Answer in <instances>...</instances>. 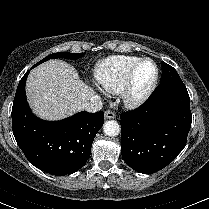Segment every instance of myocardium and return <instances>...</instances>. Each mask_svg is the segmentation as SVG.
<instances>
[{
  "instance_id": "f54148a6",
  "label": "myocardium",
  "mask_w": 209,
  "mask_h": 209,
  "mask_svg": "<svg viewBox=\"0 0 209 209\" xmlns=\"http://www.w3.org/2000/svg\"><path fill=\"white\" fill-rule=\"evenodd\" d=\"M151 62L155 67V75L151 84L142 92L137 93L134 90V77L137 69L143 62ZM159 81V67L157 63L148 57L140 58L129 70L125 83L121 89V96L123 102L128 107H138L143 105L153 94L156 89Z\"/></svg>"
}]
</instances>
